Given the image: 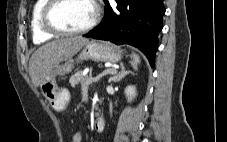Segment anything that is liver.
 I'll use <instances>...</instances> for the list:
<instances>
[{"instance_id":"obj_1","label":"liver","mask_w":227,"mask_h":142,"mask_svg":"<svg viewBox=\"0 0 227 142\" xmlns=\"http://www.w3.org/2000/svg\"><path fill=\"white\" fill-rule=\"evenodd\" d=\"M88 42L82 36H74L54 40L38 48L29 61V74L34 86H40L56 66L72 58Z\"/></svg>"}]
</instances>
